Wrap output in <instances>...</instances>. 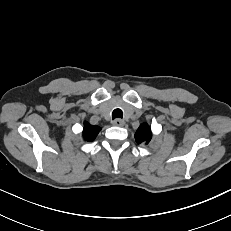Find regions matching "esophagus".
Masks as SVG:
<instances>
[{
    "label": "esophagus",
    "mask_w": 231,
    "mask_h": 231,
    "mask_svg": "<svg viewBox=\"0 0 231 231\" xmlns=\"http://www.w3.org/2000/svg\"><path fill=\"white\" fill-rule=\"evenodd\" d=\"M124 124H125V122L122 120V119H115L114 121H113V125H115V126H119V127H121V126H124Z\"/></svg>",
    "instance_id": "obj_1"
}]
</instances>
